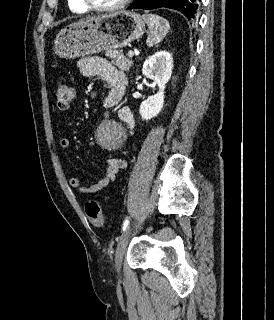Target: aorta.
<instances>
[{"mask_svg": "<svg viewBox=\"0 0 274 320\" xmlns=\"http://www.w3.org/2000/svg\"><path fill=\"white\" fill-rule=\"evenodd\" d=\"M123 132L121 125L112 121L100 126L96 132L99 144L105 148H115L120 142Z\"/></svg>", "mask_w": 274, "mask_h": 320, "instance_id": "1", "label": "aorta"}]
</instances>
